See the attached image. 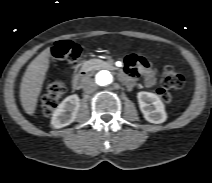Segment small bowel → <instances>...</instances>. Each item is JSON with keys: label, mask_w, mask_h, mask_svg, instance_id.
Masks as SVG:
<instances>
[{"label": "small bowel", "mask_w": 212, "mask_h": 183, "mask_svg": "<svg viewBox=\"0 0 212 183\" xmlns=\"http://www.w3.org/2000/svg\"><path fill=\"white\" fill-rule=\"evenodd\" d=\"M141 78L146 87H153L157 83L156 70L146 58L131 54L126 58L123 80L128 88H133L137 78Z\"/></svg>", "instance_id": "obj_1"}]
</instances>
